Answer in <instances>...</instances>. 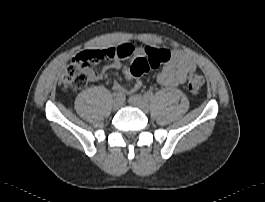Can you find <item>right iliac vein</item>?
<instances>
[{"label": "right iliac vein", "mask_w": 265, "mask_h": 202, "mask_svg": "<svg viewBox=\"0 0 265 202\" xmlns=\"http://www.w3.org/2000/svg\"><path fill=\"white\" fill-rule=\"evenodd\" d=\"M122 106V99L115 98L112 102L113 110L117 111Z\"/></svg>", "instance_id": "1"}]
</instances>
